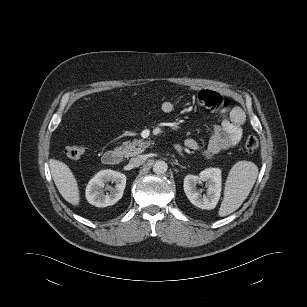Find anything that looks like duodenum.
I'll use <instances>...</instances> for the list:
<instances>
[{
    "label": "duodenum",
    "mask_w": 307,
    "mask_h": 307,
    "mask_svg": "<svg viewBox=\"0 0 307 307\" xmlns=\"http://www.w3.org/2000/svg\"><path fill=\"white\" fill-rule=\"evenodd\" d=\"M121 161V154L117 150H107L102 156V162L108 166H115Z\"/></svg>",
    "instance_id": "duodenum-1"
}]
</instances>
